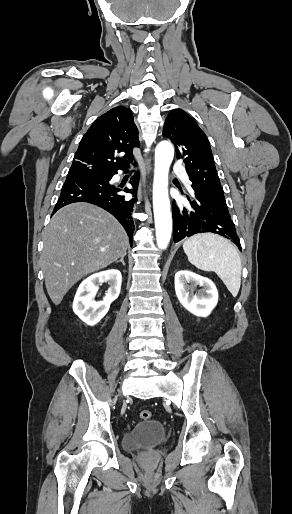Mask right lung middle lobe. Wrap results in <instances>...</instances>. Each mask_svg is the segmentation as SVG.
Instances as JSON below:
<instances>
[{"label":"right lung middle lobe","instance_id":"1","mask_svg":"<svg viewBox=\"0 0 292 514\" xmlns=\"http://www.w3.org/2000/svg\"><path fill=\"white\" fill-rule=\"evenodd\" d=\"M85 175L102 176L101 174H95V173H92V174H85Z\"/></svg>","mask_w":292,"mask_h":514}]
</instances>
